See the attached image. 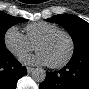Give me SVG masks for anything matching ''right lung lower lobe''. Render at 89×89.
Masks as SVG:
<instances>
[{"label":"right lung lower lobe","instance_id":"right-lung-lower-lobe-1","mask_svg":"<svg viewBox=\"0 0 89 89\" xmlns=\"http://www.w3.org/2000/svg\"><path fill=\"white\" fill-rule=\"evenodd\" d=\"M22 66L8 51L0 52V89H15L18 79L26 75Z\"/></svg>","mask_w":89,"mask_h":89}]
</instances>
